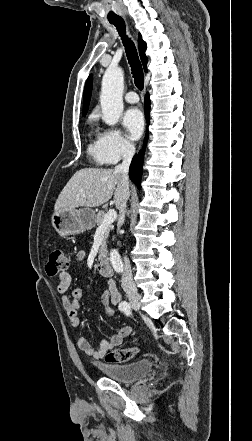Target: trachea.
<instances>
[{"label":"trachea","mask_w":252,"mask_h":441,"mask_svg":"<svg viewBox=\"0 0 252 441\" xmlns=\"http://www.w3.org/2000/svg\"><path fill=\"white\" fill-rule=\"evenodd\" d=\"M110 23L113 24L117 28V31L122 38V42L125 46L127 58H128V61H129L130 67H131V71H132V74L134 77L135 86L139 90H143L144 76H143V71H142V65L139 60L137 50H136L134 43L131 41L130 38H128L126 36L125 23L123 20H114V21H110Z\"/></svg>","instance_id":"3493384b"}]
</instances>
